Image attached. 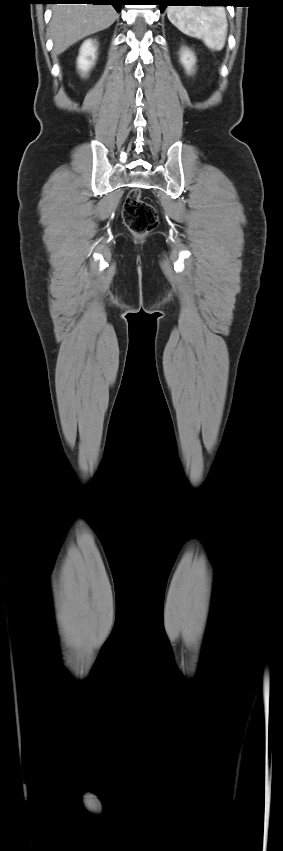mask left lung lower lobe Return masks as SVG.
Returning a JSON list of instances; mask_svg holds the SVG:
<instances>
[{
	"label": "left lung lower lobe",
	"instance_id": "0a47b994",
	"mask_svg": "<svg viewBox=\"0 0 283 851\" xmlns=\"http://www.w3.org/2000/svg\"><path fill=\"white\" fill-rule=\"evenodd\" d=\"M228 0H157L160 6V11L163 12L166 6L170 5H223L225 6Z\"/></svg>",
	"mask_w": 283,
	"mask_h": 851
}]
</instances>
